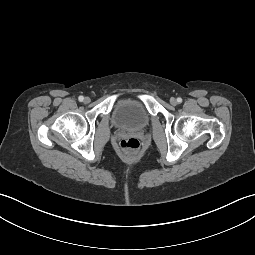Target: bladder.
<instances>
[{
    "instance_id": "bladder-1",
    "label": "bladder",
    "mask_w": 255,
    "mask_h": 255,
    "mask_svg": "<svg viewBox=\"0 0 255 255\" xmlns=\"http://www.w3.org/2000/svg\"><path fill=\"white\" fill-rule=\"evenodd\" d=\"M111 117L115 126L124 129L139 130L149 123V115L143 104L132 99L117 101Z\"/></svg>"
}]
</instances>
